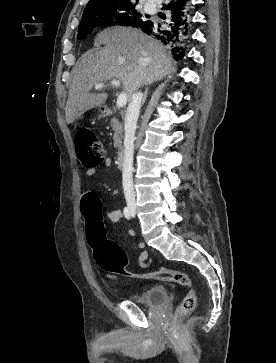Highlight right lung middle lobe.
Here are the masks:
<instances>
[{
	"instance_id": "right-lung-middle-lobe-1",
	"label": "right lung middle lobe",
	"mask_w": 276,
	"mask_h": 363,
	"mask_svg": "<svg viewBox=\"0 0 276 363\" xmlns=\"http://www.w3.org/2000/svg\"><path fill=\"white\" fill-rule=\"evenodd\" d=\"M117 11H125L117 13ZM117 24L139 27L145 20L136 10V4L126 1H111L86 7L79 25L78 38H84L98 27L113 26L114 18Z\"/></svg>"
}]
</instances>
